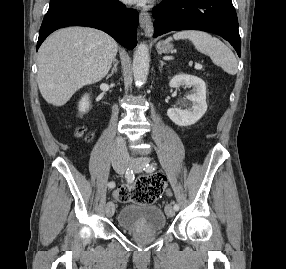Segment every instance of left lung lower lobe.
Listing matches in <instances>:
<instances>
[{"label":"left lung lower lobe","mask_w":286,"mask_h":269,"mask_svg":"<svg viewBox=\"0 0 286 269\" xmlns=\"http://www.w3.org/2000/svg\"><path fill=\"white\" fill-rule=\"evenodd\" d=\"M154 37L174 30L215 33L241 54L238 19L231 0H164L152 10Z\"/></svg>","instance_id":"obj_1"}]
</instances>
